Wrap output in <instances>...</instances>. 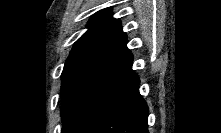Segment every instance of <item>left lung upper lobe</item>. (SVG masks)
<instances>
[{
	"label": "left lung upper lobe",
	"instance_id": "5c2ea615",
	"mask_svg": "<svg viewBox=\"0 0 221 133\" xmlns=\"http://www.w3.org/2000/svg\"><path fill=\"white\" fill-rule=\"evenodd\" d=\"M88 28L75 42L61 75L62 120L92 81L130 53L121 23L109 9L97 12Z\"/></svg>",
	"mask_w": 221,
	"mask_h": 133
}]
</instances>
